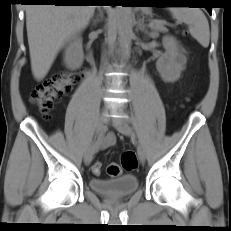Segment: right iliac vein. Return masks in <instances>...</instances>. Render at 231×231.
<instances>
[{
  "label": "right iliac vein",
  "instance_id": "right-iliac-vein-1",
  "mask_svg": "<svg viewBox=\"0 0 231 231\" xmlns=\"http://www.w3.org/2000/svg\"><path fill=\"white\" fill-rule=\"evenodd\" d=\"M104 124H105V120H104V117L101 115L98 118L97 123H96L95 140L90 144V146L87 148V150L84 154V162L87 165H89L93 159V155L95 153V142H96V139L103 133Z\"/></svg>",
  "mask_w": 231,
  "mask_h": 231
}]
</instances>
